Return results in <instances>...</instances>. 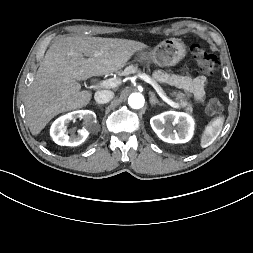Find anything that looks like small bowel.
<instances>
[{
  "label": "small bowel",
  "instance_id": "1",
  "mask_svg": "<svg viewBox=\"0 0 253 253\" xmlns=\"http://www.w3.org/2000/svg\"><path fill=\"white\" fill-rule=\"evenodd\" d=\"M155 77L161 81H167L176 87L190 93L196 100L200 101L205 95L206 78L203 76L190 77L186 74L169 76L161 71L155 73Z\"/></svg>",
  "mask_w": 253,
  "mask_h": 253
}]
</instances>
